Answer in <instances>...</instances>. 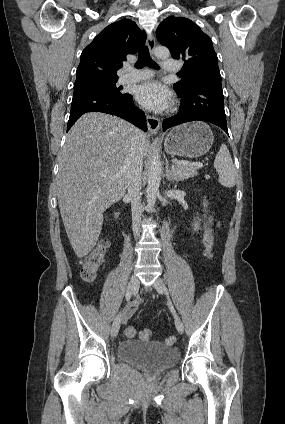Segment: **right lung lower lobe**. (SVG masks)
Instances as JSON below:
<instances>
[{"label": "right lung lower lobe", "mask_w": 285, "mask_h": 424, "mask_svg": "<svg viewBox=\"0 0 285 424\" xmlns=\"http://www.w3.org/2000/svg\"><path fill=\"white\" fill-rule=\"evenodd\" d=\"M87 112H103L123 118L140 129L147 131L145 114L133 104L132 95L112 96L97 92H83L73 95L67 131L76 120Z\"/></svg>", "instance_id": "1"}]
</instances>
